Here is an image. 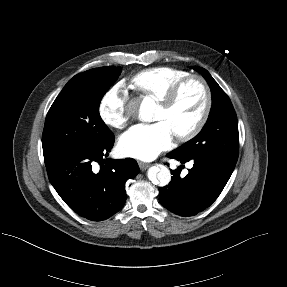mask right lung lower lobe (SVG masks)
Instances as JSON below:
<instances>
[{
  "instance_id": "right-lung-lower-lobe-1",
  "label": "right lung lower lobe",
  "mask_w": 287,
  "mask_h": 287,
  "mask_svg": "<svg viewBox=\"0 0 287 287\" xmlns=\"http://www.w3.org/2000/svg\"><path fill=\"white\" fill-rule=\"evenodd\" d=\"M114 145L112 135L103 144L66 152L45 160L49 180L60 197L77 214L92 221L105 220L126 201L125 182L139 173L136 160L106 159ZM98 162L99 172L92 165Z\"/></svg>"
}]
</instances>
